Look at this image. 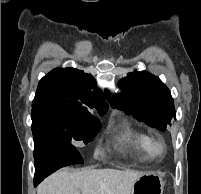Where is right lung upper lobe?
Listing matches in <instances>:
<instances>
[{"label": "right lung upper lobe", "instance_id": "right-lung-upper-lobe-1", "mask_svg": "<svg viewBox=\"0 0 201 194\" xmlns=\"http://www.w3.org/2000/svg\"><path fill=\"white\" fill-rule=\"evenodd\" d=\"M94 78L75 68H56L44 76L38 85L32 106L55 103L64 106L69 114L86 119H96L87 110L95 107L103 115L108 106L101 91L95 89ZM90 89H95L93 92ZM107 96V94H106Z\"/></svg>", "mask_w": 201, "mask_h": 194}]
</instances>
